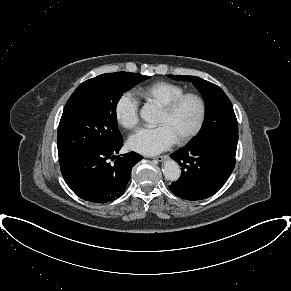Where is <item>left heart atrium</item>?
Returning a JSON list of instances; mask_svg holds the SVG:
<instances>
[{"label":"left heart atrium","mask_w":291,"mask_h":291,"mask_svg":"<svg viewBox=\"0 0 291 291\" xmlns=\"http://www.w3.org/2000/svg\"><path fill=\"white\" fill-rule=\"evenodd\" d=\"M177 139L166 125L156 128H143L128 140L131 149L146 155H153L167 150Z\"/></svg>","instance_id":"left-heart-atrium-1"}]
</instances>
